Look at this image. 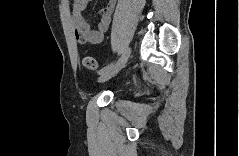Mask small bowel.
<instances>
[{
	"label": "small bowel",
	"mask_w": 239,
	"mask_h": 156,
	"mask_svg": "<svg viewBox=\"0 0 239 156\" xmlns=\"http://www.w3.org/2000/svg\"><path fill=\"white\" fill-rule=\"evenodd\" d=\"M89 0H74L72 4V19L74 38L78 44H99L103 41L104 33L107 31L111 15L115 8V0H108L100 10V19L96 29H92L83 16Z\"/></svg>",
	"instance_id": "1"
}]
</instances>
